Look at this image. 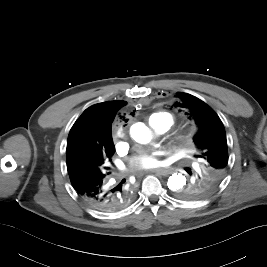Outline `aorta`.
<instances>
[{
  "instance_id": "762f6f07",
  "label": "aorta",
  "mask_w": 267,
  "mask_h": 267,
  "mask_svg": "<svg viewBox=\"0 0 267 267\" xmlns=\"http://www.w3.org/2000/svg\"><path fill=\"white\" fill-rule=\"evenodd\" d=\"M131 137L140 144H147L151 140V133L144 123L138 122L130 128ZM186 184V177L181 173H174L168 178L167 186L171 191L178 192Z\"/></svg>"
}]
</instances>
